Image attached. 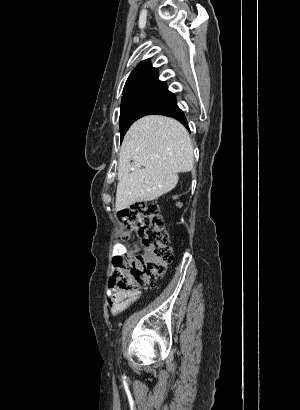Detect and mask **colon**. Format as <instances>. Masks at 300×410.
I'll return each mask as SVG.
<instances>
[{"instance_id":"5ec220e1","label":"colon","mask_w":300,"mask_h":410,"mask_svg":"<svg viewBox=\"0 0 300 410\" xmlns=\"http://www.w3.org/2000/svg\"><path fill=\"white\" fill-rule=\"evenodd\" d=\"M119 219L126 237L135 234L144 251L115 258L110 288L117 292H130L140 286L156 287L173 257L158 205L138 202L120 211Z\"/></svg>"}]
</instances>
